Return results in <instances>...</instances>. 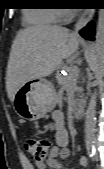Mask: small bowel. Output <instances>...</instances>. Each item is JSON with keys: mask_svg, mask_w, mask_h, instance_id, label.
Here are the masks:
<instances>
[{"mask_svg": "<svg viewBox=\"0 0 104 169\" xmlns=\"http://www.w3.org/2000/svg\"><path fill=\"white\" fill-rule=\"evenodd\" d=\"M51 129L54 133L55 146L51 149L50 156L46 162L36 163V169H46L47 166L52 169H62L60 160H66L70 155L67 147L69 135L65 127L64 115L61 111L53 113ZM80 164L86 166L88 164L87 158L81 157Z\"/></svg>", "mask_w": 104, "mask_h": 169, "instance_id": "c3829d8e", "label": "small bowel"}]
</instances>
